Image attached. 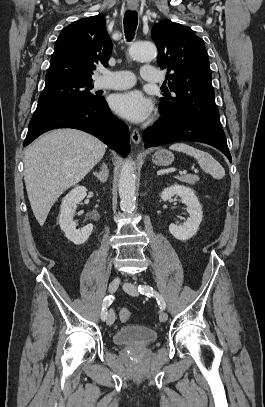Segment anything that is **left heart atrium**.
<instances>
[{
  "label": "left heart atrium",
  "instance_id": "left-heart-atrium-1",
  "mask_svg": "<svg viewBox=\"0 0 265 407\" xmlns=\"http://www.w3.org/2000/svg\"><path fill=\"white\" fill-rule=\"evenodd\" d=\"M111 108L121 117L139 123L152 113V103L137 90L116 94L111 99Z\"/></svg>",
  "mask_w": 265,
  "mask_h": 407
}]
</instances>
